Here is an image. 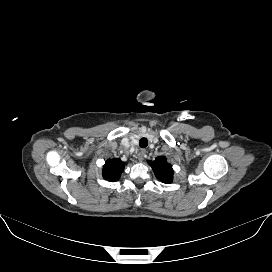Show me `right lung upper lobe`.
I'll list each match as a JSON object with an SVG mask.
<instances>
[{"label":"right lung upper lobe","instance_id":"right-lung-upper-lobe-1","mask_svg":"<svg viewBox=\"0 0 272 272\" xmlns=\"http://www.w3.org/2000/svg\"><path fill=\"white\" fill-rule=\"evenodd\" d=\"M123 170L124 163L120 159H109L103 167L102 175L107 181H117Z\"/></svg>","mask_w":272,"mask_h":272}]
</instances>
